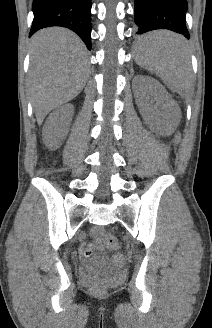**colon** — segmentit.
Masks as SVG:
<instances>
[{
	"mask_svg": "<svg viewBox=\"0 0 212 328\" xmlns=\"http://www.w3.org/2000/svg\"><path fill=\"white\" fill-rule=\"evenodd\" d=\"M104 237V241L107 244L108 247L112 248V249H118L119 248V241L118 239L111 234H105V233H101ZM114 262L117 265H123L125 263V257L121 254V253H116L114 255ZM93 289L96 292H102L104 290V285L101 283H95L93 285Z\"/></svg>",
	"mask_w": 212,
	"mask_h": 328,
	"instance_id": "1",
	"label": "colon"
}]
</instances>
